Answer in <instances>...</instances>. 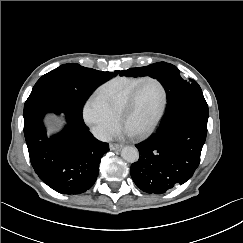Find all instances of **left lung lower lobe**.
<instances>
[{
    "mask_svg": "<svg viewBox=\"0 0 243 243\" xmlns=\"http://www.w3.org/2000/svg\"><path fill=\"white\" fill-rule=\"evenodd\" d=\"M208 114L203 93L166 110L156 132L136 145L139 159L130 174L141 190L165 193L193 176L207 135Z\"/></svg>",
    "mask_w": 243,
    "mask_h": 243,
    "instance_id": "obj_1",
    "label": "left lung lower lobe"
}]
</instances>
